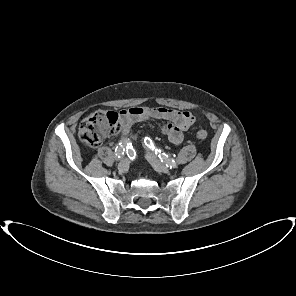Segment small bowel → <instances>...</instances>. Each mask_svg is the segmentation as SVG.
Listing matches in <instances>:
<instances>
[{
  "label": "small bowel",
  "mask_w": 296,
  "mask_h": 296,
  "mask_svg": "<svg viewBox=\"0 0 296 296\" xmlns=\"http://www.w3.org/2000/svg\"><path fill=\"white\" fill-rule=\"evenodd\" d=\"M152 119H163L168 121L162 128L164 135L174 145L183 141V133L195 122V116L188 111H180L167 107H132L120 112L121 139L124 143L136 139L131 129L134 123L149 121Z\"/></svg>",
  "instance_id": "1"
}]
</instances>
